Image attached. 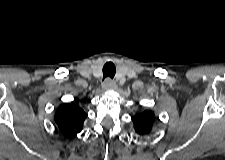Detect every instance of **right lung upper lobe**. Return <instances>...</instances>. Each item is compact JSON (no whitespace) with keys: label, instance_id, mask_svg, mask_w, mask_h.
Listing matches in <instances>:
<instances>
[{"label":"right lung upper lobe","instance_id":"right-lung-upper-lobe-1","mask_svg":"<svg viewBox=\"0 0 225 160\" xmlns=\"http://www.w3.org/2000/svg\"><path fill=\"white\" fill-rule=\"evenodd\" d=\"M87 114L76 104L60 105L54 117L61 132L69 137H74L83 129V122Z\"/></svg>","mask_w":225,"mask_h":160}]
</instances>
